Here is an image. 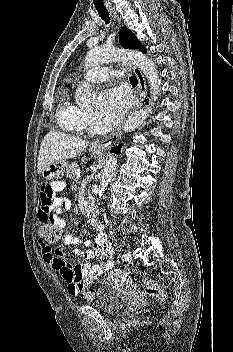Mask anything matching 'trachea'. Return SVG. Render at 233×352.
Returning <instances> with one entry per match:
<instances>
[{
  "instance_id": "1",
  "label": "trachea",
  "mask_w": 233,
  "mask_h": 352,
  "mask_svg": "<svg viewBox=\"0 0 233 352\" xmlns=\"http://www.w3.org/2000/svg\"><path fill=\"white\" fill-rule=\"evenodd\" d=\"M96 10L99 14V16L101 17V19L106 23V24H109L110 22V17H109V12L107 11L106 8H98L96 7ZM130 80V83L133 84V85H137L138 83V80L135 76H131L129 78Z\"/></svg>"
}]
</instances>
